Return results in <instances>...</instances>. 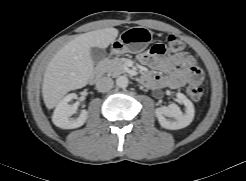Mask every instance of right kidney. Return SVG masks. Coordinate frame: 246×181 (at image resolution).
<instances>
[{
  "label": "right kidney",
  "instance_id": "right-kidney-1",
  "mask_svg": "<svg viewBox=\"0 0 246 181\" xmlns=\"http://www.w3.org/2000/svg\"><path fill=\"white\" fill-rule=\"evenodd\" d=\"M75 98H77L75 93L68 94L56 106L52 121L57 127L62 129H75L81 127L85 123L88 115L86 110H82L80 116L76 119L71 117L76 113L78 104L75 103L70 105L69 102Z\"/></svg>",
  "mask_w": 246,
  "mask_h": 181
}]
</instances>
